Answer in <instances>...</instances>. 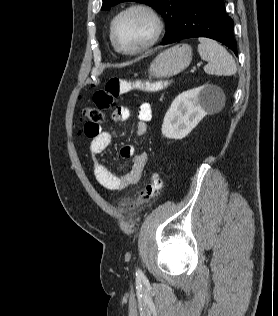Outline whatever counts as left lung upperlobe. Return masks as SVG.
Returning a JSON list of instances; mask_svg holds the SVG:
<instances>
[{
	"label": "left lung upper lobe",
	"mask_w": 278,
	"mask_h": 316,
	"mask_svg": "<svg viewBox=\"0 0 278 316\" xmlns=\"http://www.w3.org/2000/svg\"><path fill=\"white\" fill-rule=\"evenodd\" d=\"M131 0H103L102 10H109L112 5L120 2ZM143 2L156 9L164 18L166 22V34L163 38L166 39L173 32L180 13L187 0H134Z\"/></svg>",
	"instance_id": "1"
}]
</instances>
